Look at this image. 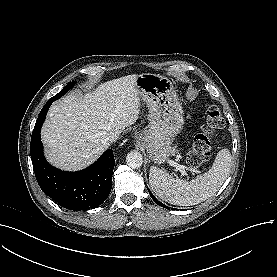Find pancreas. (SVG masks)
I'll use <instances>...</instances> for the list:
<instances>
[{
	"instance_id": "1",
	"label": "pancreas",
	"mask_w": 277,
	"mask_h": 277,
	"mask_svg": "<svg viewBox=\"0 0 277 277\" xmlns=\"http://www.w3.org/2000/svg\"><path fill=\"white\" fill-rule=\"evenodd\" d=\"M176 152V149L175 148H172V153Z\"/></svg>"
}]
</instances>
